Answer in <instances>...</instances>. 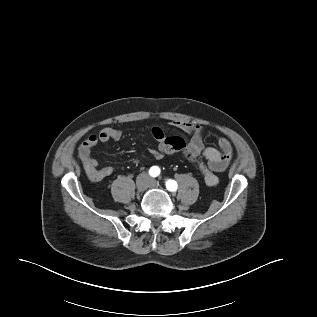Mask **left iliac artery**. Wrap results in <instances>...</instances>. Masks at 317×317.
<instances>
[{"label": "left iliac artery", "mask_w": 317, "mask_h": 317, "mask_svg": "<svg viewBox=\"0 0 317 317\" xmlns=\"http://www.w3.org/2000/svg\"><path fill=\"white\" fill-rule=\"evenodd\" d=\"M165 184H166V187H167L168 190H170V191H176L177 190L178 185H177L176 181H174L172 179H169V180H167L165 182Z\"/></svg>", "instance_id": "1"}]
</instances>
